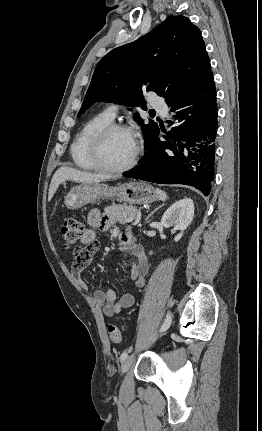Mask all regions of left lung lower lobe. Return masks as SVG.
<instances>
[{
  "mask_svg": "<svg viewBox=\"0 0 262 431\" xmlns=\"http://www.w3.org/2000/svg\"><path fill=\"white\" fill-rule=\"evenodd\" d=\"M171 130L146 145L138 166L123 176L159 184H184L209 195L214 178L217 103L214 77L184 99L168 104Z\"/></svg>",
  "mask_w": 262,
  "mask_h": 431,
  "instance_id": "0a47b994",
  "label": "left lung lower lobe"
}]
</instances>
